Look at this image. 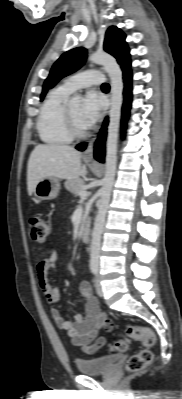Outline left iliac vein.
<instances>
[{"label": "left iliac vein", "instance_id": "1", "mask_svg": "<svg viewBox=\"0 0 182 399\" xmlns=\"http://www.w3.org/2000/svg\"><path fill=\"white\" fill-rule=\"evenodd\" d=\"M95 287H96V292H97L98 296L102 297L103 290H102V286H101L98 278L95 279Z\"/></svg>", "mask_w": 182, "mask_h": 399}]
</instances>
